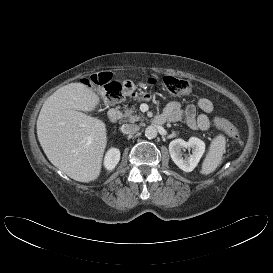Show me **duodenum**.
I'll use <instances>...</instances> for the list:
<instances>
[{"label":"duodenum","instance_id":"duodenum-1","mask_svg":"<svg viewBox=\"0 0 273 273\" xmlns=\"http://www.w3.org/2000/svg\"><path fill=\"white\" fill-rule=\"evenodd\" d=\"M108 117L111 122H117L121 117L120 110L117 107L111 108L108 112ZM152 121L154 124L161 125L166 121V119L163 115H158L154 117Z\"/></svg>","mask_w":273,"mask_h":273}]
</instances>
